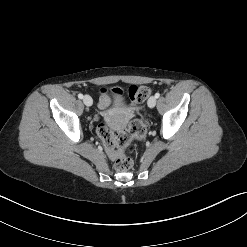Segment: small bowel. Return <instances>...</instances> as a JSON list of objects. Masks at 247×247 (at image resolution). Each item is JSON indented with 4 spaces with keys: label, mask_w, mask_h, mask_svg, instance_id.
Listing matches in <instances>:
<instances>
[{
    "label": "small bowel",
    "mask_w": 247,
    "mask_h": 247,
    "mask_svg": "<svg viewBox=\"0 0 247 247\" xmlns=\"http://www.w3.org/2000/svg\"><path fill=\"white\" fill-rule=\"evenodd\" d=\"M108 103H109V97L106 94V92L103 91L99 99V106L100 108H104L108 105Z\"/></svg>",
    "instance_id": "small-bowel-1"
}]
</instances>
